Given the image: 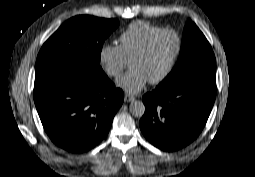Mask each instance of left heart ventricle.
Segmentation results:
<instances>
[{"instance_id":"left-heart-ventricle-1","label":"left heart ventricle","mask_w":255,"mask_h":177,"mask_svg":"<svg viewBox=\"0 0 255 177\" xmlns=\"http://www.w3.org/2000/svg\"><path fill=\"white\" fill-rule=\"evenodd\" d=\"M176 50V39L166 33L157 38L147 55L131 62V70L143 73L148 80L158 77L168 65Z\"/></svg>"}]
</instances>
